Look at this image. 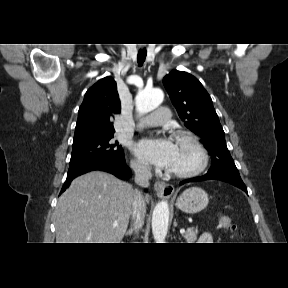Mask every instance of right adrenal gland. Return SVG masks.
Wrapping results in <instances>:
<instances>
[{
  "label": "right adrenal gland",
  "instance_id": "right-adrenal-gland-1",
  "mask_svg": "<svg viewBox=\"0 0 288 288\" xmlns=\"http://www.w3.org/2000/svg\"><path fill=\"white\" fill-rule=\"evenodd\" d=\"M135 231V227H131L126 233H125V235H129V236H131L132 234H133V232Z\"/></svg>",
  "mask_w": 288,
  "mask_h": 288
}]
</instances>
